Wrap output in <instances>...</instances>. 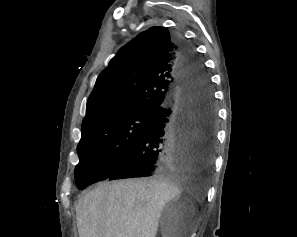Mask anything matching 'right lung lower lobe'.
Here are the masks:
<instances>
[{"instance_id":"1","label":"right lung lower lobe","mask_w":297,"mask_h":237,"mask_svg":"<svg viewBox=\"0 0 297 237\" xmlns=\"http://www.w3.org/2000/svg\"><path fill=\"white\" fill-rule=\"evenodd\" d=\"M174 39L181 80L174 98L154 112L143 135L95 182L211 170L216 111L210 82L192 47L180 36Z\"/></svg>"}]
</instances>
